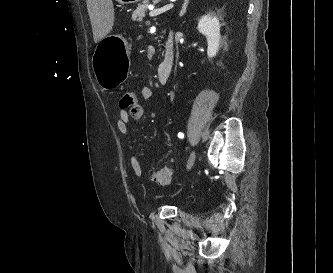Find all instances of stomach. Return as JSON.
<instances>
[{"label":"stomach","instance_id":"stomach-1","mask_svg":"<svg viewBox=\"0 0 333 273\" xmlns=\"http://www.w3.org/2000/svg\"><path fill=\"white\" fill-rule=\"evenodd\" d=\"M122 4L137 3L140 0H118ZM127 41L121 35H110L98 44L93 55L95 80L103 89H112L124 81L130 63Z\"/></svg>","mask_w":333,"mask_h":273}]
</instances>
